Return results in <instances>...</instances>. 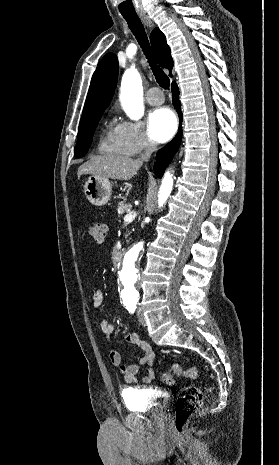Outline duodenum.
<instances>
[{"label":"duodenum","instance_id":"1","mask_svg":"<svg viewBox=\"0 0 279 465\" xmlns=\"http://www.w3.org/2000/svg\"><path fill=\"white\" fill-rule=\"evenodd\" d=\"M123 258V252L122 251H118L115 256H114V259L116 262H120Z\"/></svg>","mask_w":279,"mask_h":465}]
</instances>
